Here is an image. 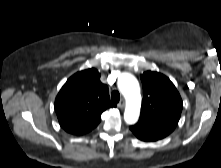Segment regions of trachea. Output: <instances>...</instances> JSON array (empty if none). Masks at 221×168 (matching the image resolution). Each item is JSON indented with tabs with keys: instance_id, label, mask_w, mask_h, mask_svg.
Here are the masks:
<instances>
[{
	"instance_id": "obj_1",
	"label": "trachea",
	"mask_w": 221,
	"mask_h": 168,
	"mask_svg": "<svg viewBox=\"0 0 221 168\" xmlns=\"http://www.w3.org/2000/svg\"><path fill=\"white\" fill-rule=\"evenodd\" d=\"M111 100L113 102H119L120 100V94L118 91L114 90L112 93H111Z\"/></svg>"
}]
</instances>
